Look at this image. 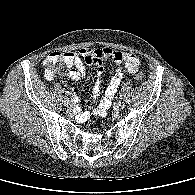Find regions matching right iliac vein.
Masks as SVG:
<instances>
[{"mask_svg":"<svg viewBox=\"0 0 195 195\" xmlns=\"http://www.w3.org/2000/svg\"><path fill=\"white\" fill-rule=\"evenodd\" d=\"M64 105L67 106V107L71 106L72 105V101L69 98H65L64 99Z\"/></svg>","mask_w":195,"mask_h":195,"instance_id":"1","label":"right iliac vein"}]
</instances>
